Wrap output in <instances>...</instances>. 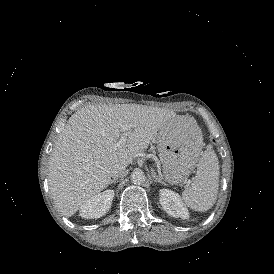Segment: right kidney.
<instances>
[{
    "label": "right kidney",
    "instance_id": "right-kidney-1",
    "mask_svg": "<svg viewBox=\"0 0 274 274\" xmlns=\"http://www.w3.org/2000/svg\"><path fill=\"white\" fill-rule=\"evenodd\" d=\"M113 197L112 190L91 197L82 205L80 216L86 219L102 217L109 211Z\"/></svg>",
    "mask_w": 274,
    "mask_h": 274
}]
</instances>
